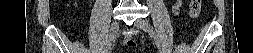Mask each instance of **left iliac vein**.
<instances>
[{
	"mask_svg": "<svg viewBox=\"0 0 253 53\" xmlns=\"http://www.w3.org/2000/svg\"><path fill=\"white\" fill-rule=\"evenodd\" d=\"M135 25L138 27V28H141L145 31H148L150 36H151V33H152V30L150 29V26L148 24L147 21L143 20V19H138L135 21ZM152 37V36H151Z\"/></svg>",
	"mask_w": 253,
	"mask_h": 53,
	"instance_id": "1",
	"label": "left iliac vein"
}]
</instances>
